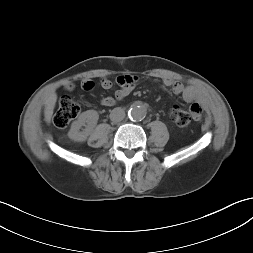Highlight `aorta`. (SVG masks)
Returning <instances> with one entry per match:
<instances>
[{"mask_svg": "<svg viewBox=\"0 0 253 253\" xmlns=\"http://www.w3.org/2000/svg\"><path fill=\"white\" fill-rule=\"evenodd\" d=\"M146 113L147 112L145 108H143L142 106L133 105L128 111V116L134 121H141L145 118Z\"/></svg>", "mask_w": 253, "mask_h": 253, "instance_id": "1", "label": "aorta"}]
</instances>
